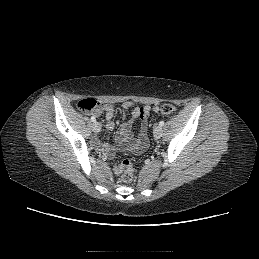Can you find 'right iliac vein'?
Returning a JSON list of instances; mask_svg holds the SVG:
<instances>
[{"label":"right iliac vein","instance_id":"63e3f726","mask_svg":"<svg viewBox=\"0 0 259 259\" xmlns=\"http://www.w3.org/2000/svg\"><path fill=\"white\" fill-rule=\"evenodd\" d=\"M101 129V126L98 122L93 123L92 130L94 133H99Z\"/></svg>","mask_w":259,"mask_h":259}]
</instances>
